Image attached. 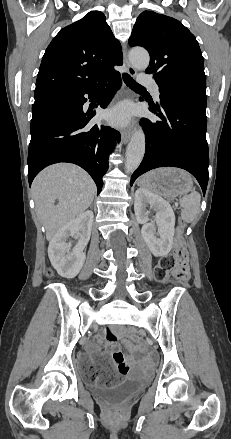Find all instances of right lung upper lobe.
<instances>
[{"label":"right lung upper lobe","instance_id":"cb5924a9","mask_svg":"<svg viewBox=\"0 0 231 439\" xmlns=\"http://www.w3.org/2000/svg\"><path fill=\"white\" fill-rule=\"evenodd\" d=\"M121 46L100 11L66 26L47 47L37 75L35 98L87 89L122 65Z\"/></svg>","mask_w":231,"mask_h":439}]
</instances>
